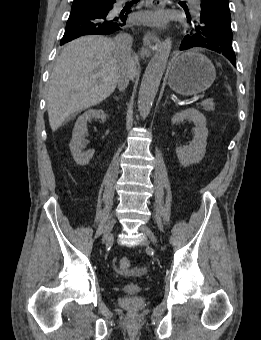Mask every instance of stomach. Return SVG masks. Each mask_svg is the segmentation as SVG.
Returning <instances> with one entry per match:
<instances>
[{
	"instance_id": "1",
	"label": "stomach",
	"mask_w": 261,
	"mask_h": 340,
	"mask_svg": "<svg viewBox=\"0 0 261 340\" xmlns=\"http://www.w3.org/2000/svg\"><path fill=\"white\" fill-rule=\"evenodd\" d=\"M216 78L215 67L204 55L189 51L174 57L168 69V84L176 93L196 95L207 90Z\"/></svg>"
}]
</instances>
